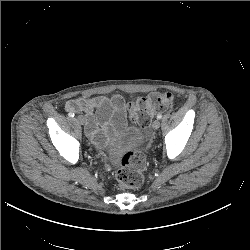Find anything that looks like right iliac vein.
<instances>
[{"instance_id":"63e3f726","label":"right iliac vein","mask_w":250,"mask_h":250,"mask_svg":"<svg viewBox=\"0 0 250 250\" xmlns=\"http://www.w3.org/2000/svg\"><path fill=\"white\" fill-rule=\"evenodd\" d=\"M75 120H76L78 123H80L81 125H84V119H83L82 116L76 117Z\"/></svg>"}]
</instances>
